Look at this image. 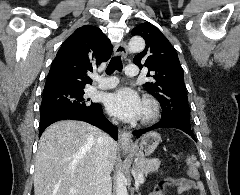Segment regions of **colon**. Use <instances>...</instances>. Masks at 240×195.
I'll use <instances>...</instances> for the list:
<instances>
[{
    "instance_id": "1",
    "label": "colon",
    "mask_w": 240,
    "mask_h": 195,
    "mask_svg": "<svg viewBox=\"0 0 240 195\" xmlns=\"http://www.w3.org/2000/svg\"><path fill=\"white\" fill-rule=\"evenodd\" d=\"M186 166H188V167L190 166L191 167L190 168V175L193 176L194 179H197L198 178V169L194 168L195 164L191 163V158H189V157L186 158Z\"/></svg>"
}]
</instances>
